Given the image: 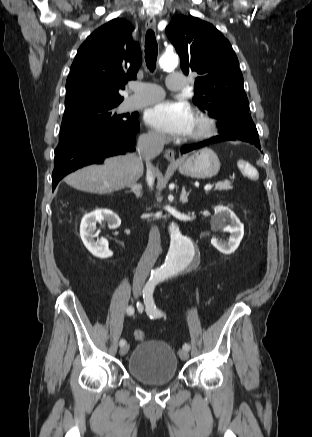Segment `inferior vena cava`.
<instances>
[{"label": "inferior vena cava", "instance_id": "inferior-vena-cava-1", "mask_svg": "<svg viewBox=\"0 0 312 437\" xmlns=\"http://www.w3.org/2000/svg\"><path fill=\"white\" fill-rule=\"evenodd\" d=\"M165 142V134L158 131H149L147 134H142L138 138L137 151L139 156L146 161V181L150 188H152L155 180L154 167L151 165L150 161L163 150ZM160 251V232L155 226L150 230L148 245L138 263L136 273H148L154 266Z\"/></svg>", "mask_w": 312, "mask_h": 437}]
</instances>
